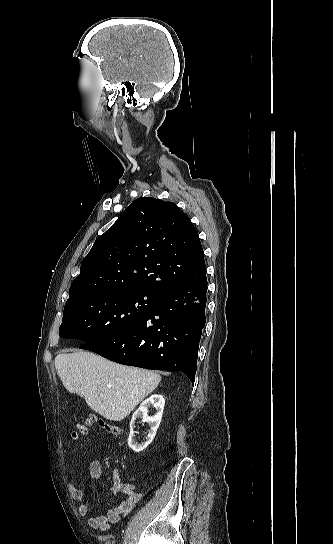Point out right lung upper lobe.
<instances>
[{
    "label": "right lung upper lobe",
    "instance_id": "1",
    "mask_svg": "<svg viewBox=\"0 0 333 544\" xmlns=\"http://www.w3.org/2000/svg\"><path fill=\"white\" fill-rule=\"evenodd\" d=\"M204 274L202 245L189 217L173 202L139 198L96 239L66 303L109 291L160 296Z\"/></svg>",
    "mask_w": 333,
    "mask_h": 544
}]
</instances>
